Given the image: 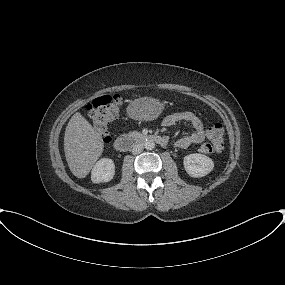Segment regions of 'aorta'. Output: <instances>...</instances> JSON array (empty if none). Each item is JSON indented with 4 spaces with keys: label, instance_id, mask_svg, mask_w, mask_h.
Instances as JSON below:
<instances>
[{
    "label": "aorta",
    "instance_id": "1",
    "mask_svg": "<svg viewBox=\"0 0 285 285\" xmlns=\"http://www.w3.org/2000/svg\"><path fill=\"white\" fill-rule=\"evenodd\" d=\"M143 146L146 150H153L155 148V143L152 140H146Z\"/></svg>",
    "mask_w": 285,
    "mask_h": 285
}]
</instances>
